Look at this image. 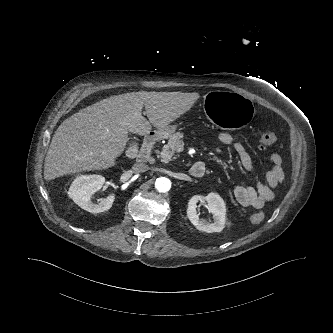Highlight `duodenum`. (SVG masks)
<instances>
[{
  "label": "duodenum",
  "instance_id": "duodenum-1",
  "mask_svg": "<svg viewBox=\"0 0 333 333\" xmlns=\"http://www.w3.org/2000/svg\"><path fill=\"white\" fill-rule=\"evenodd\" d=\"M160 138L159 132H150L141 147L139 154L137 155L136 161L140 164L148 163L152 157L153 148ZM205 173V165L202 162H196L191 167V174L196 177L200 178Z\"/></svg>",
  "mask_w": 333,
  "mask_h": 333
}]
</instances>
